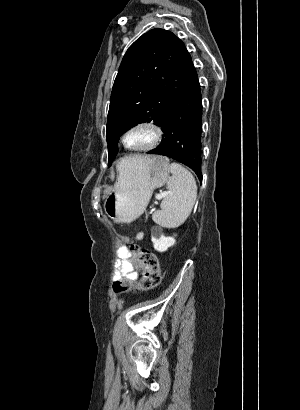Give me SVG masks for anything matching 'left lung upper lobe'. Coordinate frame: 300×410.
Masks as SVG:
<instances>
[{
    "instance_id": "obj_1",
    "label": "left lung upper lobe",
    "mask_w": 300,
    "mask_h": 410,
    "mask_svg": "<svg viewBox=\"0 0 300 410\" xmlns=\"http://www.w3.org/2000/svg\"><path fill=\"white\" fill-rule=\"evenodd\" d=\"M193 68L184 43L170 31L152 29L128 48L110 98L106 126L109 166L124 132L141 122L160 126Z\"/></svg>"
}]
</instances>
